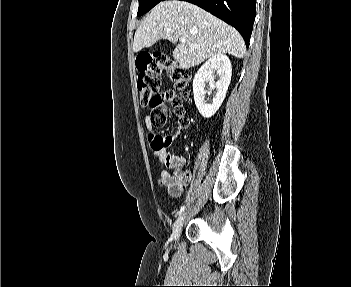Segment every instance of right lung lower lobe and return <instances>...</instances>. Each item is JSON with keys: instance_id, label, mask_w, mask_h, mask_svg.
<instances>
[{"instance_id": "98d812e1", "label": "right lung lower lobe", "mask_w": 351, "mask_h": 287, "mask_svg": "<svg viewBox=\"0 0 351 287\" xmlns=\"http://www.w3.org/2000/svg\"><path fill=\"white\" fill-rule=\"evenodd\" d=\"M195 4L235 27L249 45L256 0H183Z\"/></svg>"}]
</instances>
